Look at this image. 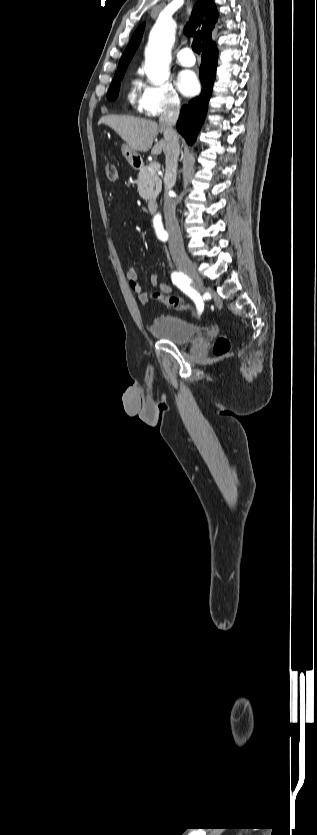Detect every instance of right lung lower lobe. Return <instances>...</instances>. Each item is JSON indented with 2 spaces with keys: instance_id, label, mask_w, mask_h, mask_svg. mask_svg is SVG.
I'll return each mask as SVG.
<instances>
[{
  "instance_id": "right-lung-lower-lobe-1",
  "label": "right lung lower lobe",
  "mask_w": 317,
  "mask_h": 835,
  "mask_svg": "<svg viewBox=\"0 0 317 835\" xmlns=\"http://www.w3.org/2000/svg\"><path fill=\"white\" fill-rule=\"evenodd\" d=\"M201 49L200 79L203 85L202 92L182 107L177 122V130L188 144H193L195 141L205 118L217 67L218 51L212 39L203 43Z\"/></svg>"
}]
</instances>
